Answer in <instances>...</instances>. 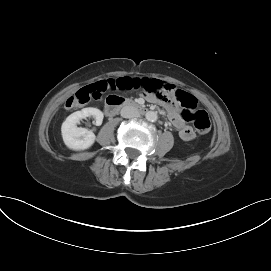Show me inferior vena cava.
Here are the masks:
<instances>
[{"mask_svg":"<svg viewBox=\"0 0 271 271\" xmlns=\"http://www.w3.org/2000/svg\"><path fill=\"white\" fill-rule=\"evenodd\" d=\"M121 116L124 118H133L138 116V112L132 106H124L121 109Z\"/></svg>","mask_w":271,"mask_h":271,"instance_id":"602c4592","label":"inferior vena cava"}]
</instances>
